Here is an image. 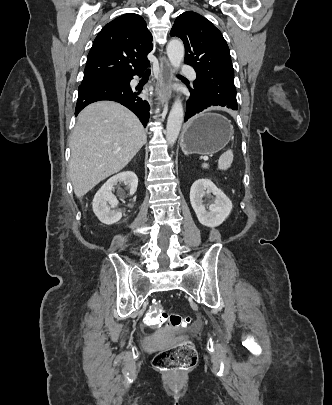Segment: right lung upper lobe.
Returning a JSON list of instances; mask_svg holds the SVG:
<instances>
[{"instance_id":"1","label":"right lung upper lobe","mask_w":332,"mask_h":405,"mask_svg":"<svg viewBox=\"0 0 332 405\" xmlns=\"http://www.w3.org/2000/svg\"><path fill=\"white\" fill-rule=\"evenodd\" d=\"M152 49V35L144 19L135 13L124 14L105 25L95 38L84 77H119L138 72L149 65L147 54Z\"/></svg>"}]
</instances>
